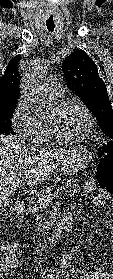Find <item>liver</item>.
Listing matches in <instances>:
<instances>
[{"label":"liver","instance_id":"1","mask_svg":"<svg viewBox=\"0 0 113 279\" xmlns=\"http://www.w3.org/2000/svg\"><path fill=\"white\" fill-rule=\"evenodd\" d=\"M72 150L45 152L27 146L16 136L0 135V208L4 200L14 194L20 181L16 176L23 172L22 186H32L45 180Z\"/></svg>","mask_w":113,"mask_h":279}]
</instances>
